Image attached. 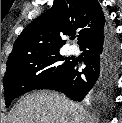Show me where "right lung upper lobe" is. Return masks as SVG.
Masks as SVG:
<instances>
[{
    "mask_svg": "<svg viewBox=\"0 0 122 123\" xmlns=\"http://www.w3.org/2000/svg\"><path fill=\"white\" fill-rule=\"evenodd\" d=\"M105 17L97 0H54L53 6L32 21L16 39L7 67L24 59L57 52L64 35L79 29L78 44L102 29Z\"/></svg>",
    "mask_w": 122,
    "mask_h": 123,
    "instance_id": "cb5924a9",
    "label": "right lung upper lobe"
}]
</instances>
